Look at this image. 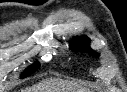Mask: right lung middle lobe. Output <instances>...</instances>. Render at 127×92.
<instances>
[{"mask_svg": "<svg viewBox=\"0 0 127 92\" xmlns=\"http://www.w3.org/2000/svg\"><path fill=\"white\" fill-rule=\"evenodd\" d=\"M40 67V64L38 62H35L30 67H28L23 74L21 75V78H25L29 75H31L33 72H35Z\"/></svg>", "mask_w": 127, "mask_h": 92, "instance_id": "obj_1", "label": "right lung middle lobe"}]
</instances>
